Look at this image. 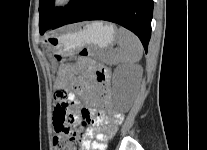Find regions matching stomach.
<instances>
[{"mask_svg": "<svg viewBox=\"0 0 207 150\" xmlns=\"http://www.w3.org/2000/svg\"><path fill=\"white\" fill-rule=\"evenodd\" d=\"M116 28L113 24L104 21H95L81 26H70L60 32L49 34L45 41L51 53L64 56L74 55L78 50L87 46L91 51H107L116 40ZM56 62H53V70L60 75V68L56 70Z\"/></svg>", "mask_w": 207, "mask_h": 150, "instance_id": "0dacf381", "label": "stomach"}]
</instances>
